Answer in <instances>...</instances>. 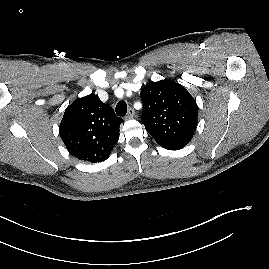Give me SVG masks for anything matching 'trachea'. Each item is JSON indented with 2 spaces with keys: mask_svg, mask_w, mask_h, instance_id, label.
Returning <instances> with one entry per match:
<instances>
[{
  "mask_svg": "<svg viewBox=\"0 0 269 269\" xmlns=\"http://www.w3.org/2000/svg\"><path fill=\"white\" fill-rule=\"evenodd\" d=\"M127 113V105L125 101H119L116 105V114L118 116H125Z\"/></svg>",
  "mask_w": 269,
  "mask_h": 269,
  "instance_id": "obj_1",
  "label": "trachea"
}]
</instances>
